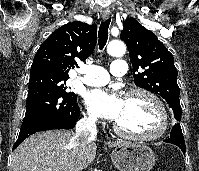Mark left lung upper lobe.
<instances>
[{
	"mask_svg": "<svg viewBox=\"0 0 199 171\" xmlns=\"http://www.w3.org/2000/svg\"><path fill=\"white\" fill-rule=\"evenodd\" d=\"M120 38L129 50L134 83L165 99L180 121L182 108L173 55L154 33L133 18L124 21Z\"/></svg>",
	"mask_w": 199,
	"mask_h": 171,
	"instance_id": "5c2ea615",
	"label": "left lung upper lobe"
}]
</instances>
